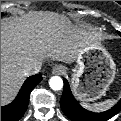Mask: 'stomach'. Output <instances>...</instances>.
I'll use <instances>...</instances> for the list:
<instances>
[{
  "label": "stomach",
  "mask_w": 121,
  "mask_h": 121,
  "mask_svg": "<svg viewBox=\"0 0 121 121\" xmlns=\"http://www.w3.org/2000/svg\"><path fill=\"white\" fill-rule=\"evenodd\" d=\"M72 82L82 101H93L105 94L115 77V65L100 46H88L77 56Z\"/></svg>",
  "instance_id": "1"
}]
</instances>
